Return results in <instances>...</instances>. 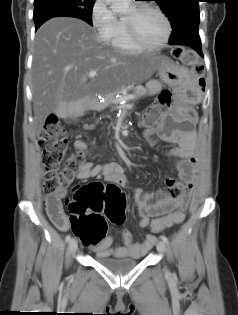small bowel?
<instances>
[{
    "instance_id": "1",
    "label": "small bowel",
    "mask_w": 238,
    "mask_h": 315,
    "mask_svg": "<svg viewBox=\"0 0 238 315\" xmlns=\"http://www.w3.org/2000/svg\"><path fill=\"white\" fill-rule=\"evenodd\" d=\"M153 130L144 132L145 138L150 144H153ZM160 137L167 142H176L177 145L172 147L168 154L178 159L177 170L179 173V181L176 182L172 178H168L166 183L169 190L163 199H169L165 202H159V198L155 197V193L144 191L137 188L133 190L138 213L140 216L139 225L143 228L150 223L151 217L171 216L177 214L180 223L184 217V209L187 206L194 187V176L196 174L194 156L195 135L190 132L176 131L173 129L161 130ZM75 150L85 148V143L76 140L73 144ZM102 176L106 181L114 182L121 186H125L127 181L124 175L123 167L118 163H108L104 165H95L92 162H86L80 168L77 179L87 180L90 178ZM66 190H60L55 195H48L47 213L53 224L61 231L71 229L67 216L63 213L61 201L66 196ZM52 198L56 199V204H52ZM178 223H165L164 227L169 228ZM122 239L124 246L112 247V238L104 236L97 244L94 245L93 251L100 257H142L155 244L156 238L153 234H148L141 243L133 240V235L127 229L122 231Z\"/></svg>"
}]
</instances>
